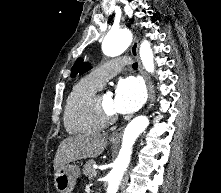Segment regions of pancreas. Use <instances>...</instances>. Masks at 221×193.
Instances as JSON below:
<instances>
[{
	"instance_id": "pancreas-1",
	"label": "pancreas",
	"mask_w": 221,
	"mask_h": 193,
	"mask_svg": "<svg viewBox=\"0 0 221 193\" xmlns=\"http://www.w3.org/2000/svg\"><path fill=\"white\" fill-rule=\"evenodd\" d=\"M95 164L94 160H89L83 166V174L88 177L89 179L93 178V165Z\"/></svg>"
}]
</instances>
